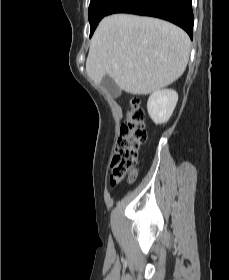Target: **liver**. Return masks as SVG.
<instances>
[{
  "label": "liver",
  "mask_w": 229,
  "mask_h": 280,
  "mask_svg": "<svg viewBox=\"0 0 229 280\" xmlns=\"http://www.w3.org/2000/svg\"><path fill=\"white\" fill-rule=\"evenodd\" d=\"M190 45L186 32L169 22L111 15L102 19L91 39L86 72L96 85L108 75L121 90L147 95L184 73Z\"/></svg>",
  "instance_id": "1"
}]
</instances>
